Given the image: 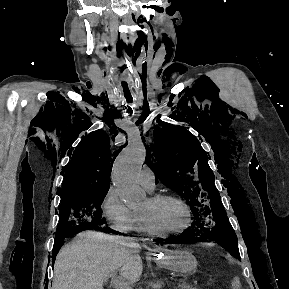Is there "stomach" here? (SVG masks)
Listing matches in <instances>:
<instances>
[{
  "mask_svg": "<svg viewBox=\"0 0 289 289\" xmlns=\"http://www.w3.org/2000/svg\"><path fill=\"white\" fill-rule=\"evenodd\" d=\"M164 263L173 272L186 276L192 275L197 268V260L192 252L188 250L166 252Z\"/></svg>",
  "mask_w": 289,
  "mask_h": 289,
  "instance_id": "obj_1",
  "label": "stomach"
}]
</instances>
